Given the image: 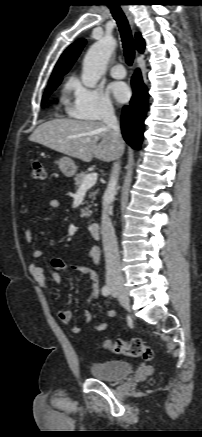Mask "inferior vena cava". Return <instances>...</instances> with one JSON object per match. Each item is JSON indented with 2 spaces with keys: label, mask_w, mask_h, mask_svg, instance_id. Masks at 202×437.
<instances>
[{
  "label": "inferior vena cava",
  "mask_w": 202,
  "mask_h": 437,
  "mask_svg": "<svg viewBox=\"0 0 202 437\" xmlns=\"http://www.w3.org/2000/svg\"><path fill=\"white\" fill-rule=\"evenodd\" d=\"M102 120L111 131L114 142L117 146L116 162L113 165V170L107 189L103 196V210L101 221L102 242L105 253L106 262V281L107 283L122 282V273L120 265V256L115 231L110 219L109 205L113 202L116 195V187L118 175L120 172V157L124 151L123 139L120 131V126L114 113L113 107L105 108L102 114Z\"/></svg>",
  "instance_id": "obj_1"
}]
</instances>
